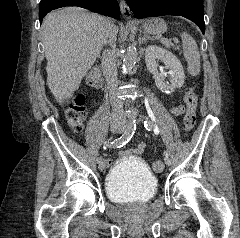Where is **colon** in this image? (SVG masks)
Returning <instances> with one entry per match:
<instances>
[{"label": "colon", "mask_w": 240, "mask_h": 238, "mask_svg": "<svg viewBox=\"0 0 240 238\" xmlns=\"http://www.w3.org/2000/svg\"><path fill=\"white\" fill-rule=\"evenodd\" d=\"M101 83L102 78L99 69L92 70L88 75V84L92 87H99ZM184 100L187 106L183 119L184 128L186 131H191L196 123V107L198 98L195 92L190 89L186 91ZM85 118V96L83 94H77L69 102L66 110V120L75 132H80L84 127ZM152 167L156 173H161L164 170V164L161 161H155Z\"/></svg>", "instance_id": "1"}]
</instances>
